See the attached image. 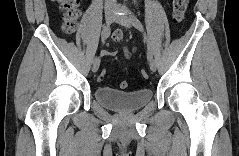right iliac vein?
Wrapping results in <instances>:
<instances>
[{
	"label": "right iliac vein",
	"instance_id": "right-iliac-vein-1",
	"mask_svg": "<svg viewBox=\"0 0 239 156\" xmlns=\"http://www.w3.org/2000/svg\"><path fill=\"white\" fill-rule=\"evenodd\" d=\"M114 12H115V10L113 8H108L106 10V12H105V22H106L107 26H109L113 22ZM99 65H100V60L97 59L96 61L93 62L92 71L96 72L99 68Z\"/></svg>",
	"mask_w": 239,
	"mask_h": 156
}]
</instances>
